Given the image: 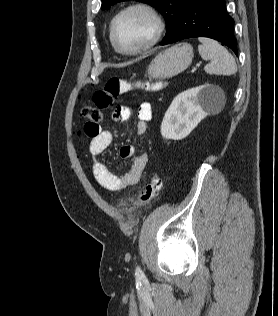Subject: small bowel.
<instances>
[{
  "label": "small bowel",
  "mask_w": 278,
  "mask_h": 316,
  "mask_svg": "<svg viewBox=\"0 0 278 316\" xmlns=\"http://www.w3.org/2000/svg\"><path fill=\"white\" fill-rule=\"evenodd\" d=\"M133 112L128 106H118L112 113L114 122H124L131 118ZM136 130L138 135H144L147 131L148 122L152 118L151 104L147 101L142 102L136 112ZM90 138L89 154L92 159V172L95 180L109 191L119 192L128 187L136 185L147 164V156L144 153L135 154V149L131 145L123 146L120 154L124 158H133V163L129 170L122 176L112 173L107 165L99 158L105 149L112 142V133L108 130L99 129L98 133Z\"/></svg>",
  "instance_id": "1"
}]
</instances>
